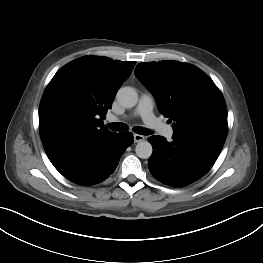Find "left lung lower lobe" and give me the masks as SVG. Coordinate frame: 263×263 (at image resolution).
Returning <instances> with one entry per match:
<instances>
[{
	"mask_svg": "<svg viewBox=\"0 0 263 263\" xmlns=\"http://www.w3.org/2000/svg\"><path fill=\"white\" fill-rule=\"evenodd\" d=\"M172 141L151 136L153 153L148 167L157 180L173 187L189 185L203 177L214 165L225 141L184 132H174Z\"/></svg>",
	"mask_w": 263,
	"mask_h": 263,
	"instance_id": "left-lung-lower-lobe-1",
	"label": "left lung lower lobe"
}]
</instances>
